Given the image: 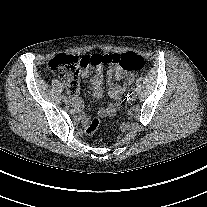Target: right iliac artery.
Wrapping results in <instances>:
<instances>
[{
    "mask_svg": "<svg viewBox=\"0 0 207 207\" xmlns=\"http://www.w3.org/2000/svg\"><path fill=\"white\" fill-rule=\"evenodd\" d=\"M62 98H63L64 100L67 99L66 95H63Z\"/></svg>",
    "mask_w": 207,
    "mask_h": 207,
    "instance_id": "1",
    "label": "right iliac artery"
}]
</instances>
